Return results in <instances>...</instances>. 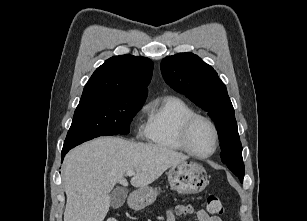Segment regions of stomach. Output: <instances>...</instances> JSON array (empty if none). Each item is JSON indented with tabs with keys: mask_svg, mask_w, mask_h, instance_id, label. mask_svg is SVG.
<instances>
[{
	"mask_svg": "<svg viewBox=\"0 0 307 221\" xmlns=\"http://www.w3.org/2000/svg\"><path fill=\"white\" fill-rule=\"evenodd\" d=\"M170 186L181 194H196L208 185V176L204 167L197 162L183 161L172 166L168 172ZM158 195L157 188L142 187L135 192L131 203L134 208H143L152 204Z\"/></svg>",
	"mask_w": 307,
	"mask_h": 221,
	"instance_id": "stomach-1",
	"label": "stomach"
}]
</instances>
